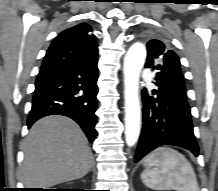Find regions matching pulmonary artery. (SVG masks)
<instances>
[{"instance_id": "pulmonary-artery-1", "label": "pulmonary artery", "mask_w": 218, "mask_h": 191, "mask_svg": "<svg viewBox=\"0 0 218 191\" xmlns=\"http://www.w3.org/2000/svg\"><path fill=\"white\" fill-rule=\"evenodd\" d=\"M145 76H150L151 75V72L149 70H145L144 73H143Z\"/></svg>"}]
</instances>
